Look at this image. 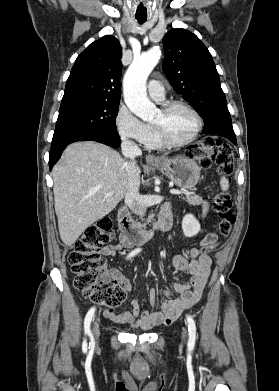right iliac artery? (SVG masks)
Segmentation results:
<instances>
[{"label": "right iliac artery", "instance_id": "1", "mask_svg": "<svg viewBox=\"0 0 279 391\" xmlns=\"http://www.w3.org/2000/svg\"><path fill=\"white\" fill-rule=\"evenodd\" d=\"M138 252H140V249H135L133 250L127 258H131L133 257L134 255H136ZM94 312H95V308H91L88 313L86 314V317H85V320H84V331H85V335H88L90 336V339H91V346H93L94 344V340H93V336H92V333H91V330H90V324H91V321H92V318L94 316ZM90 346V345H89ZM82 348L83 350H87V341L86 339H84L83 341V344H82Z\"/></svg>", "mask_w": 279, "mask_h": 391}]
</instances>
